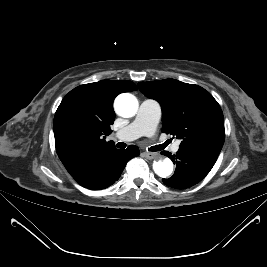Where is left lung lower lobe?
Listing matches in <instances>:
<instances>
[{
  "mask_svg": "<svg viewBox=\"0 0 267 267\" xmlns=\"http://www.w3.org/2000/svg\"><path fill=\"white\" fill-rule=\"evenodd\" d=\"M162 154L168 156L176 164L174 175L162 181L167 186L176 189L189 188L201 181L212 169L218 157L207 152L180 148L175 155L167 151Z\"/></svg>",
  "mask_w": 267,
  "mask_h": 267,
  "instance_id": "left-lung-lower-lobe-1",
  "label": "left lung lower lobe"
}]
</instances>
